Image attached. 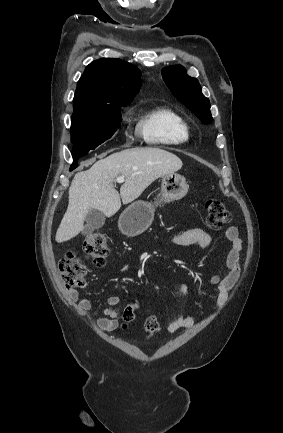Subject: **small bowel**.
<instances>
[{
  "mask_svg": "<svg viewBox=\"0 0 283 433\" xmlns=\"http://www.w3.org/2000/svg\"><path fill=\"white\" fill-rule=\"evenodd\" d=\"M225 239L229 243V250L226 257V272L223 276L215 275L211 277L210 282L216 286V308L219 310L226 304L228 293L237 282L240 276V254L241 240L236 227L229 226L224 231ZM171 241L178 246L198 245L201 248H208L212 243V237L200 228L188 230H178L172 233ZM129 266L124 264L121 268L122 272L128 271ZM182 288L188 292V286L183 285ZM70 298L76 302L80 309L84 311H92L91 302L84 297H79L77 291L70 293ZM120 302L118 296H111L107 300V305L93 311V315L97 316V326L100 330L110 332L118 327V312L115 306ZM194 325V317L189 314L178 315L171 321L167 330L176 332L180 329H189Z\"/></svg>",
  "mask_w": 283,
  "mask_h": 433,
  "instance_id": "c3829d8e",
  "label": "small bowel"
}]
</instances>
